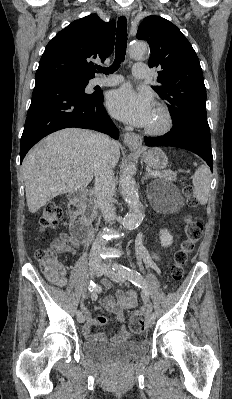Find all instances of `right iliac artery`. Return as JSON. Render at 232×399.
Instances as JSON below:
<instances>
[{
	"label": "right iliac artery",
	"instance_id": "1",
	"mask_svg": "<svg viewBox=\"0 0 232 399\" xmlns=\"http://www.w3.org/2000/svg\"><path fill=\"white\" fill-rule=\"evenodd\" d=\"M95 288H96V284H95L93 281H91V282L89 283L88 289H89V291L91 292V297H92V298L97 297V294H96L95 291H94ZM76 315H77V316H81V315H82L81 311H80V310H77V311H76Z\"/></svg>",
	"mask_w": 232,
	"mask_h": 399
}]
</instances>
